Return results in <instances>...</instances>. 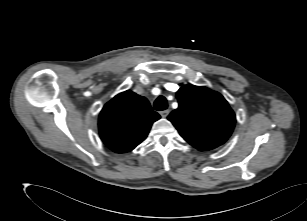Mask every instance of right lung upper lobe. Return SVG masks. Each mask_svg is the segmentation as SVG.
Here are the masks:
<instances>
[{"label": "right lung upper lobe", "mask_w": 307, "mask_h": 221, "mask_svg": "<svg viewBox=\"0 0 307 221\" xmlns=\"http://www.w3.org/2000/svg\"><path fill=\"white\" fill-rule=\"evenodd\" d=\"M159 118L145 97L127 90L106 103L100 112V137L112 151L126 153L145 140Z\"/></svg>", "instance_id": "cb5924a9"}]
</instances>
